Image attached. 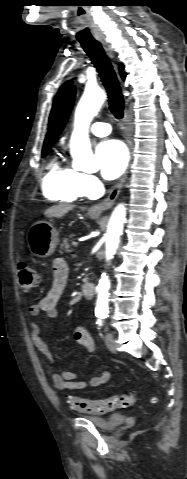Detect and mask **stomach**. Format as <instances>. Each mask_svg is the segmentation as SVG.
<instances>
[{
	"label": "stomach",
	"mask_w": 187,
	"mask_h": 479,
	"mask_svg": "<svg viewBox=\"0 0 187 479\" xmlns=\"http://www.w3.org/2000/svg\"><path fill=\"white\" fill-rule=\"evenodd\" d=\"M27 239L31 253L39 258H45L54 252L58 244V233L51 222L42 220L31 226Z\"/></svg>",
	"instance_id": "stomach-1"
}]
</instances>
